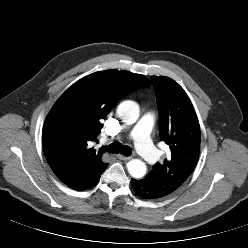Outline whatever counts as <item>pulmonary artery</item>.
<instances>
[{"label": "pulmonary artery", "mask_w": 248, "mask_h": 248, "mask_svg": "<svg viewBox=\"0 0 248 248\" xmlns=\"http://www.w3.org/2000/svg\"><path fill=\"white\" fill-rule=\"evenodd\" d=\"M154 122V114L145 112L133 127L130 137L134 139L138 153L148 162H155L160 157V152L150 140V132Z\"/></svg>", "instance_id": "e3ab8cb5"}]
</instances>
